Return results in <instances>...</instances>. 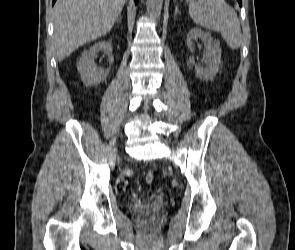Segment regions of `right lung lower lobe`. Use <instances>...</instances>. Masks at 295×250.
Segmentation results:
<instances>
[{
    "mask_svg": "<svg viewBox=\"0 0 295 250\" xmlns=\"http://www.w3.org/2000/svg\"><path fill=\"white\" fill-rule=\"evenodd\" d=\"M55 1H56V0H53V4L55 3ZM137 2H138V0H135V3H137Z\"/></svg>",
    "mask_w": 295,
    "mask_h": 250,
    "instance_id": "98d812e1",
    "label": "right lung lower lobe"
}]
</instances>
